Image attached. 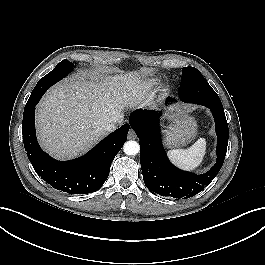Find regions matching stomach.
I'll list each match as a JSON object with an SVG mask.
<instances>
[{"label":"stomach","instance_id":"stomach-1","mask_svg":"<svg viewBox=\"0 0 265 265\" xmlns=\"http://www.w3.org/2000/svg\"><path fill=\"white\" fill-rule=\"evenodd\" d=\"M161 99V95H155ZM168 126L164 131V141L167 147H180L191 141L195 137L197 124L193 117L186 114L180 107L175 106L168 110L166 114Z\"/></svg>","mask_w":265,"mask_h":265}]
</instances>
